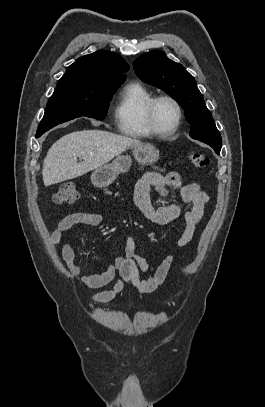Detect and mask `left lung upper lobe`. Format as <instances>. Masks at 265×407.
I'll return each instance as SVG.
<instances>
[{
  "instance_id": "obj_1",
  "label": "left lung upper lobe",
  "mask_w": 265,
  "mask_h": 407,
  "mask_svg": "<svg viewBox=\"0 0 265 407\" xmlns=\"http://www.w3.org/2000/svg\"><path fill=\"white\" fill-rule=\"evenodd\" d=\"M133 66L145 83L159 87L185 110L190 137L221 149L222 139L194 77L179 63L154 50L137 58Z\"/></svg>"
}]
</instances>
